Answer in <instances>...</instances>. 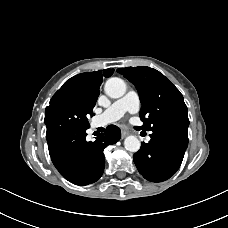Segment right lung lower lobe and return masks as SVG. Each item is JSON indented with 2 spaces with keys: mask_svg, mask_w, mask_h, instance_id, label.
<instances>
[{
  "mask_svg": "<svg viewBox=\"0 0 228 228\" xmlns=\"http://www.w3.org/2000/svg\"><path fill=\"white\" fill-rule=\"evenodd\" d=\"M86 130H69L47 139L54 166L65 179L76 185L94 183L102 176L105 166L103 150L121 138L120 129L110 125L94 142H87Z\"/></svg>",
  "mask_w": 228,
  "mask_h": 228,
  "instance_id": "right-lung-lower-lobe-1",
  "label": "right lung lower lobe"
}]
</instances>
